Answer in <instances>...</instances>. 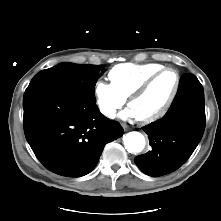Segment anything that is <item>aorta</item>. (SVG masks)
<instances>
[{"instance_id": "obj_1", "label": "aorta", "mask_w": 221, "mask_h": 221, "mask_svg": "<svg viewBox=\"0 0 221 221\" xmlns=\"http://www.w3.org/2000/svg\"><path fill=\"white\" fill-rule=\"evenodd\" d=\"M125 149L130 153H139L145 147L144 136L136 131L127 133L124 138Z\"/></svg>"}]
</instances>
